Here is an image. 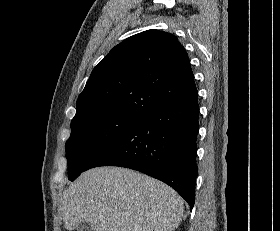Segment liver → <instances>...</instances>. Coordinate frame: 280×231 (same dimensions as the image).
<instances>
[{
    "label": "liver",
    "instance_id": "6515ba94",
    "mask_svg": "<svg viewBox=\"0 0 280 231\" xmlns=\"http://www.w3.org/2000/svg\"><path fill=\"white\" fill-rule=\"evenodd\" d=\"M59 209L66 229L91 223L96 231H174L184 201L172 187L127 167H94L65 187Z\"/></svg>",
    "mask_w": 280,
    "mask_h": 231
}]
</instances>
